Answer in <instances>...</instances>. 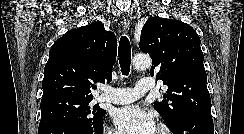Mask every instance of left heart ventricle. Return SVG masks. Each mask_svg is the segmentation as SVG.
Masks as SVG:
<instances>
[{"mask_svg": "<svg viewBox=\"0 0 244 134\" xmlns=\"http://www.w3.org/2000/svg\"><path fill=\"white\" fill-rule=\"evenodd\" d=\"M154 134H161V133L156 129Z\"/></svg>", "mask_w": 244, "mask_h": 134, "instance_id": "left-heart-ventricle-1", "label": "left heart ventricle"}]
</instances>
